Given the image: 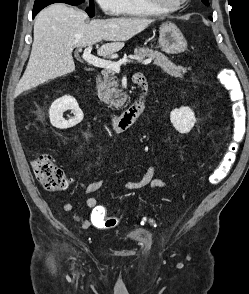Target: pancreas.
Returning a JSON list of instances; mask_svg holds the SVG:
<instances>
[{
	"label": "pancreas",
	"mask_w": 249,
	"mask_h": 294,
	"mask_svg": "<svg viewBox=\"0 0 249 294\" xmlns=\"http://www.w3.org/2000/svg\"><path fill=\"white\" fill-rule=\"evenodd\" d=\"M135 55L141 58H150L154 60V64L163 69L166 73L174 77H183L187 72V68L176 66L163 53L154 51L149 48H136ZM103 78L97 80V90L99 97L109 105V107L121 108L126 99L119 89L118 81L116 80L115 71L111 69H104L102 72Z\"/></svg>",
	"instance_id": "obj_1"
}]
</instances>
